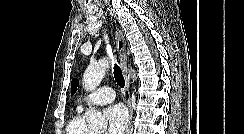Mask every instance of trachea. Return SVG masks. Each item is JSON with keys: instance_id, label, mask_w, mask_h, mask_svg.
<instances>
[{"instance_id": "3493384b", "label": "trachea", "mask_w": 244, "mask_h": 134, "mask_svg": "<svg viewBox=\"0 0 244 134\" xmlns=\"http://www.w3.org/2000/svg\"><path fill=\"white\" fill-rule=\"evenodd\" d=\"M114 78L115 81L117 82V84L121 87L124 88L125 86V80H124V76L121 72V69L118 65H114Z\"/></svg>"}]
</instances>
